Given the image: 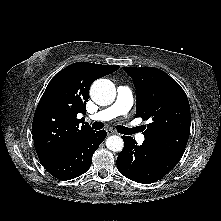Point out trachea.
Instances as JSON below:
<instances>
[{"label":"trachea","mask_w":221,"mask_h":221,"mask_svg":"<svg viewBox=\"0 0 221 221\" xmlns=\"http://www.w3.org/2000/svg\"><path fill=\"white\" fill-rule=\"evenodd\" d=\"M92 128L95 130H100L103 128V123L102 122H93ZM117 129L121 134H125V135L133 134L136 131L135 129L127 128L124 126H118Z\"/></svg>","instance_id":"trachea-1"}]
</instances>
